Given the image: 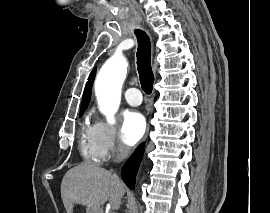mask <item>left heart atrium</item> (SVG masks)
Here are the masks:
<instances>
[{"label": "left heart atrium", "instance_id": "left-heart-atrium-1", "mask_svg": "<svg viewBox=\"0 0 270 213\" xmlns=\"http://www.w3.org/2000/svg\"><path fill=\"white\" fill-rule=\"evenodd\" d=\"M146 122L144 116L137 111L125 114L120 130V138L125 145H135L144 135Z\"/></svg>", "mask_w": 270, "mask_h": 213}]
</instances>
